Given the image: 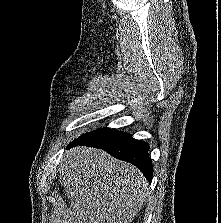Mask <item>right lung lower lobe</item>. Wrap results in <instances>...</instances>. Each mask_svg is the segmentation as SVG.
Wrapping results in <instances>:
<instances>
[{"label":"right lung lower lobe","instance_id":"right-lung-lower-lobe-1","mask_svg":"<svg viewBox=\"0 0 221 223\" xmlns=\"http://www.w3.org/2000/svg\"><path fill=\"white\" fill-rule=\"evenodd\" d=\"M83 145L100 148L115 158L135 165L151 183L153 166L148 157L149 145L131 138L130 134L114 129H100L83 138L71 142L68 148Z\"/></svg>","mask_w":221,"mask_h":223}]
</instances>
